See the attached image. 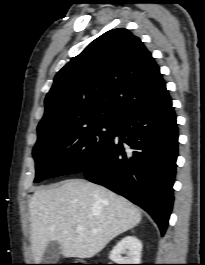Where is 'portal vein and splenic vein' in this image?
I'll return each mask as SVG.
<instances>
[{
  "instance_id": "1",
  "label": "portal vein and splenic vein",
  "mask_w": 205,
  "mask_h": 265,
  "mask_svg": "<svg viewBox=\"0 0 205 265\" xmlns=\"http://www.w3.org/2000/svg\"><path fill=\"white\" fill-rule=\"evenodd\" d=\"M83 230H84V229H83L82 226H78V227H77V231H78V232H82Z\"/></svg>"
}]
</instances>
